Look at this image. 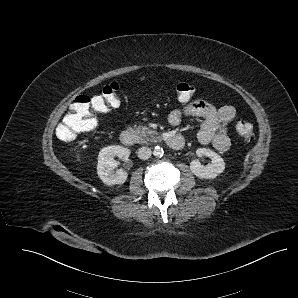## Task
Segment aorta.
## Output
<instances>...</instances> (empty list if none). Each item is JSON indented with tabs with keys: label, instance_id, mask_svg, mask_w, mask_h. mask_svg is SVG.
<instances>
[{
	"label": "aorta",
	"instance_id": "1",
	"mask_svg": "<svg viewBox=\"0 0 298 298\" xmlns=\"http://www.w3.org/2000/svg\"><path fill=\"white\" fill-rule=\"evenodd\" d=\"M164 154L163 149L160 146H156L153 150V155L156 157H162Z\"/></svg>",
	"mask_w": 298,
	"mask_h": 298
}]
</instances>
